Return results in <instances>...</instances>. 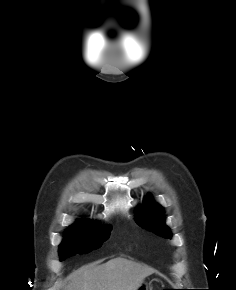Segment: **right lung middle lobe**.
Returning a JSON list of instances; mask_svg holds the SVG:
<instances>
[{
  "instance_id": "obj_1",
  "label": "right lung middle lobe",
  "mask_w": 236,
  "mask_h": 290,
  "mask_svg": "<svg viewBox=\"0 0 236 290\" xmlns=\"http://www.w3.org/2000/svg\"><path fill=\"white\" fill-rule=\"evenodd\" d=\"M111 227L97 226L94 223L73 225L66 232L59 247L60 260L76 253H88L100 247L111 232Z\"/></svg>"
}]
</instances>
